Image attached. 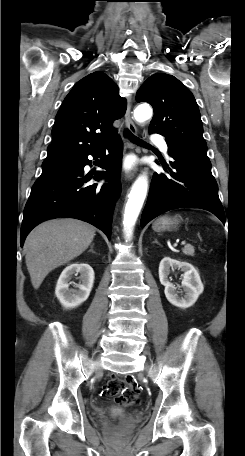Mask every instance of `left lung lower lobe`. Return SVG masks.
Listing matches in <instances>:
<instances>
[{"label":"left lung lower lobe","instance_id":"obj_1","mask_svg":"<svg viewBox=\"0 0 245 456\" xmlns=\"http://www.w3.org/2000/svg\"><path fill=\"white\" fill-rule=\"evenodd\" d=\"M172 158L165 174L154 173L141 226L158 215L177 208H200L215 214L223 223L225 215L209 159L186 152L167 142Z\"/></svg>","mask_w":245,"mask_h":456}]
</instances>
